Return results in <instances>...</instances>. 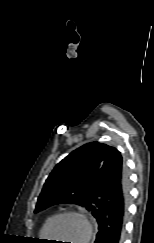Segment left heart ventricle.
Instances as JSON below:
<instances>
[{
	"instance_id": "b2bd125f",
	"label": "left heart ventricle",
	"mask_w": 154,
	"mask_h": 243,
	"mask_svg": "<svg viewBox=\"0 0 154 243\" xmlns=\"http://www.w3.org/2000/svg\"><path fill=\"white\" fill-rule=\"evenodd\" d=\"M50 235L57 239H70L71 243H80L84 235V224L76 217H60L53 223Z\"/></svg>"
}]
</instances>
